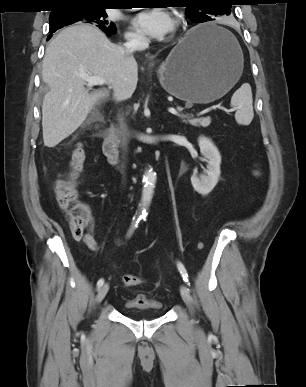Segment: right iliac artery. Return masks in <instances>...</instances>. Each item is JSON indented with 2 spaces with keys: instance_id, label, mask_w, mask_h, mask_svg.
<instances>
[{
  "instance_id": "1",
  "label": "right iliac artery",
  "mask_w": 306,
  "mask_h": 387,
  "mask_svg": "<svg viewBox=\"0 0 306 387\" xmlns=\"http://www.w3.org/2000/svg\"><path fill=\"white\" fill-rule=\"evenodd\" d=\"M139 220H140V219H137V220L133 221L132 226H131V228H130V230H129V234H128V235H130V234L133 232V230L138 226ZM103 284H104V279L101 278V279H99L98 282H97V287L99 288V287H101Z\"/></svg>"
}]
</instances>
